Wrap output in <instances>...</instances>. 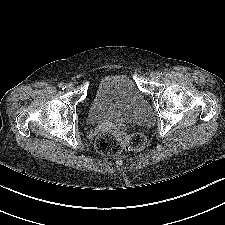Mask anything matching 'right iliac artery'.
Instances as JSON below:
<instances>
[{"label": "right iliac artery", "mask_w": 225, "mask_h": 225, "mask_svg": "<svg viewBox=\"0 0 225 225\" xmlns=\"http://www.w3.org/2000/svg\"><path fill=\"white\" fill-rule=\"evenodd\" d=\"M59 88H60L61 90H64V89L66 88V85H65L64 83H60V84H59Z\"/></svg>", "instance_id": "82829eb1"}]
</instances>
